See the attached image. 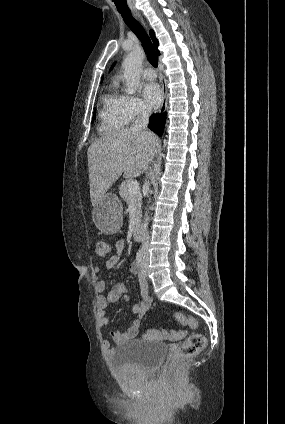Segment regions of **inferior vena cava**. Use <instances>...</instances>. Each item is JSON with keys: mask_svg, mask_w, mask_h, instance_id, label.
Returning a JSON list of instances; mask_svg holds the SVG:
<instances>
[{"mask_svg": "<svg viewBox=\"0 0 285 424\" xmlns=\"http://www.w3.org/2000/svg\"><path fill=\"white\" fill-rule=\"evenodd\" d=\"M151 115V110L147 107H143L138 117L136 118L134 124L132 125L131 129L134 131H147V125L149 122V117ZM145 186L148 187V183H145ZM148 246H149V234L147 233L145 236V241L143 244V260L148 261L149 254H148Z\"/></svg>", "mask_w": 285, "mask_h": 424, "instance_id": "obj_1", "label": "inferior vena cava"}]
</instances>
